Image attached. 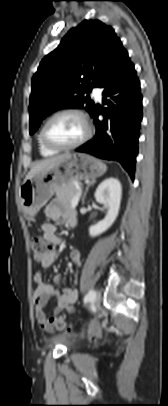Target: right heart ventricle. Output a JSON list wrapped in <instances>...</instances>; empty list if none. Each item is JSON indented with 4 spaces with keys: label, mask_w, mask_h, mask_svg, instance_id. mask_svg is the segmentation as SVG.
I'll use <instances>...</instances> for the list:
<instances>
[{
    "label": "right heart ventricle",
    "mask_w": 168,
    "mask_h": 406,
    "mask_svg": "<svg viewBox=\"0 0 168 406\" xmlns=\"http://www.w3.org/2000/svg\"><path fill=\"white\" fill-rule=\"evenodd\" d=\"M37 144H38V148H39V152L42 156L48 157V156H52L54 154L57 153L56 150H51L49 148H47L41 141L40 138V132L37 135Z\"/></svg>",
    "instance_id": "e07e8e85"
}]
</instances>
